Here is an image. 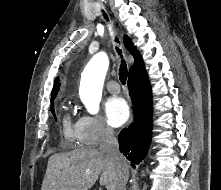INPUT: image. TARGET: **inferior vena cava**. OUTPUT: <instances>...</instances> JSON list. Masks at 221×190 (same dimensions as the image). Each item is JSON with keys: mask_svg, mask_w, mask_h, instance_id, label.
I'll return each mask as SVG.
<instances>
[{"mask_svg": "<svg viewBox=\"0 0 221 190\" xmlns=\"http://www.w3.org/2000/svg\"><path fill=\"white\" fill-rule=\"evenodd\" d=\"M99 151L103 153L108 160L113 162L119 175V184L117 190H126L128 181V162L119 151V144L114 136V132L109 127H104L101 131Z\"/></svg>", "mask_w": 221, "mask_h": 190, "instance_id": "obj_1", "label": "inferior vena cava"}]
</instances>
